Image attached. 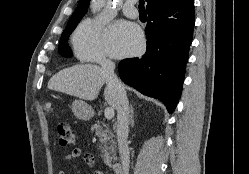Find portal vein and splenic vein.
I'll list each match as a JSON object with an SVG mask.
<instances>
[{
    "mask_svg": "<svg viewBox=\"0 0 249 174\" xmlns=\"http://www.w3.org/2000/svg\"><path fill=\"white\" fill-rule=\"evenodd\" d=\"M104 116L106 119H112L114 117V109L112 107H107L104 111Z\"/></svg>",
    "mask_w": 249,
    "mask_h": 174,
    "instance_id": "portal-vein-and-splenic-vein-1",
    "label": "portal vein and splenic vein"
}]
</instances>
